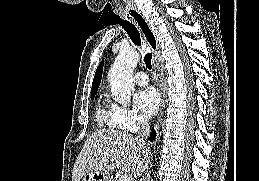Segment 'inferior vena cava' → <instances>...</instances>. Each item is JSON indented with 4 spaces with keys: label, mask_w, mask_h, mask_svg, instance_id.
<instances>
[{
    "label": "inferior vena cava",
    "mask_w": 259,
    "mask_h": 181,
    "mask_svg": "<svg viewBox=\"0 0 259 181\" xmlns=\"http://www.w3.org/2000/svg\"><path fill=\"white\" fill-rule=\"evenodd\" d=\"M140 123H141V130L139 131L137 139L142 146H145L146 145L145 140L150 135V125L148 122V118L146 116H141Z\"/></svg>",
    "instance_id": "1"
}]
</instances>
